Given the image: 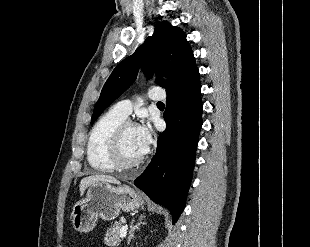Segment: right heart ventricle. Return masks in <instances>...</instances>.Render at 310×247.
I'll use <instances>...</instances> for the list:
<instances>
[{
    "label": "right heart ventricle",
    "instance_id": "obj_1",
    "mask_svg": "<svg viewBox=\"0 0 310 247\" xmlns=\"http://www.w3.org/2000/svg\"><path fill=\"white\" fill-rule=\"evenodd\" d=\"M126 120L114 107L104 113L91 129L87 144V160L92 169L97 172H111L108 150L111 136L117 126Z\"/></svg>",
    "mask_w": 310,
    "mask_h": 247
}]
</instances>
